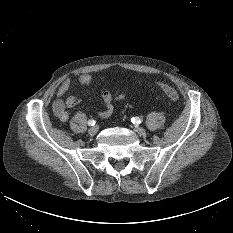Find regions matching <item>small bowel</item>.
Listing matches in <instances>:
<instances>
[{
  "mask_svg": "<svg viewBox=\"0 0 233 233\" xmlns=\"http://www.w3.org/2000/svg\"><path fill=\"white\" fill-rule=\"evenodd\" d=\"M94 78L90 74H82L79 76L78 82L82 87H88L92 84ZM102 82L106 79L101 77ZM71 87L70 79H64L56 90V100L53 103V114L61 122H66L69 118L68 109L74 108L79 99L75 96H69L65 100L63 96L68 92ZM127 96V90L115 89L114 92L104 90L101 93V98L104 104V109L98 113L102 119L109 118L113 113V102L123 100Z\"/></svg>",
  "mask_w": 233,
  "mask_h": 233,
  "instance_id": "obj_1",
  "label": "small bowel"
}]
</instances>
